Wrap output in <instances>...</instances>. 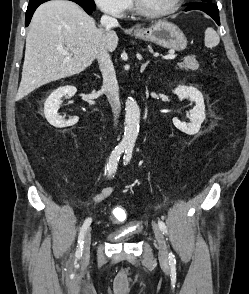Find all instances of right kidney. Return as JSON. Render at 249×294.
Masks as SVG:
<instances>
[{
	"instance_id": "1",
	"label": "right kidney",
	"mask_w": 249,
	"mask_h": 294,
	"mask_svg": "<svg viewBox=\"0 0 249 294\" xmlns=\"http://www.w3.org/2000/svg\"><path fill=\"white\" fill-rule=\"evenodd\" d=\"M76 92L77 89L74 86L59 87L58 89L53 91L46 99L44 104V114L45 118L52 126L57 128H65L68 126H73L78 122V117L65 120L58 114L60 104L62 103V97L66 95L72 96Z\"/></svg>"
}]
</instances>
